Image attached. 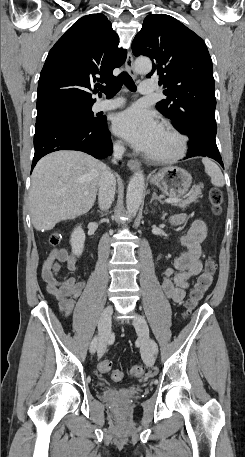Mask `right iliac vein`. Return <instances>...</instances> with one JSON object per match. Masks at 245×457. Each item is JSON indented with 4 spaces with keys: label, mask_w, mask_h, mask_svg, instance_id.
<instances>
[{
    "label": "right iliac vein",
    "mask_w": 245,
    "mask_h": 457,
    "mask_svg": "<svg viewBox=\"0 0 245 457\" xmlns=\"http://www.w3.org/2000/svg\"><path fill=\"white\" fill-rule=\"evenodd\" d=\"M113 313L112 305L106 306L103 310L99 322H98V331H99V339H98V346L97 352L98 357H102L106 351V347L108 344L109 334H110V322Z\"/></svg>",
    "instance_id": "right-iliac-vein-1"
}]
</instances>
